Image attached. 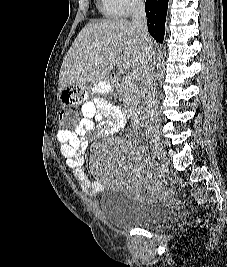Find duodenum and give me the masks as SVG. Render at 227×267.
Wrapping results in <instances>:
<instances>
[{"label":"duodenum","instance_id":"duodenum-1","mask_svg":"<svg viewBox=\"0 0 227 267\" xmlns=\"http://www.w3.org/2000/svg\"><path fill=\"white\" fill-rule=\"evenodd\" d=\"M131 115L135 122H139L142 117V113L139 110L131 109Z\"/></svg>","mask_w":227,"mask_h":267}]
</instances>
